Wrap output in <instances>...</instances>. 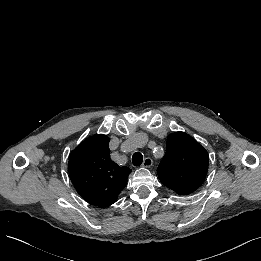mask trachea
I'll return each instance as SVG.
<instances>
[{"mask_svg": "<svg viewBox=\"0 0 261 261\" xmlns=\"http://www.w3.org/2000/svg\"><path fill=\"white\" fill-rule=\"evenodd\" d=\"M143 162V155L140 152H135L132 156V163L134 166H140Z\"/></svg>", "mask_w": 261, "mask_h": 261, "instance_id": "3493384b", "label": "trachea"}]
</instances>
